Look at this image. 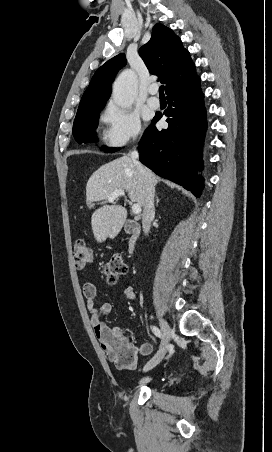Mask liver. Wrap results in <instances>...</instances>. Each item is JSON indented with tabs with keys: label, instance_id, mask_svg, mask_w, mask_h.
Wrapping results in <instances>:
<instances>
[{
	"label": "liver",
	"instance_id": "6515ba94",
	"mask_svg": "<svg viewBox=\"0 0 272 452\" xmlns=\"http://www.w3.org/2000/svg\"><path fill=\"white\" fill-rule=\"evenodd\" d=\"M146 170L152 183L156 185L158 178L150 170ZM116 190H125L132 202L143 206L142 181L131 157L127 155L102 165L91 175L86 185L87 206L93 208L95 202L108 200L109 195ZM126 218L127 210L114 202L95 210L91 226L96 241L101 243L109 236L115 237Z\"/></svg>",
	"mask_w": 272,
	"mask_h": 452
}]
</instances>
